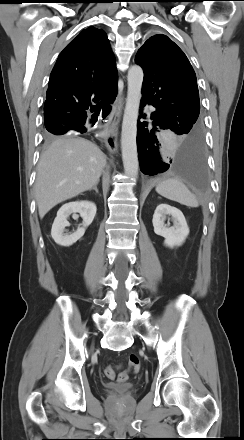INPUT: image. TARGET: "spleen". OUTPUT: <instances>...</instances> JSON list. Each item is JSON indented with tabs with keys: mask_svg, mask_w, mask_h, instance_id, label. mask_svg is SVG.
I'll return each instance as SVG.
<instances>
[{
	"mask_svg": "<svg viewBox=\"0 0 244 440\" xmlns=\"http://www.w3.org/2000/svg\"><path fill=\"white\" fill-rule=\"evenodd\" d=\"M156 192L169 200L188 207L199 206L196 197L182 183V181L177 178H169L160 181L156 186Z\"/></svg>",
	"mask_w": 244,
	"mask_h": 440,
	"instance_id": "spleen-1",
	"label": "spleen"
}]
</instances>
